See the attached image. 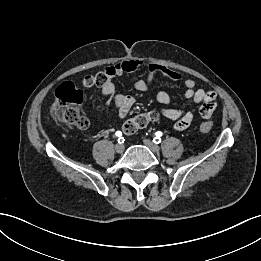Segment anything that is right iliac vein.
I'll use <instances>...</instances> for the list:
<instances>
[{"instance_id": "obj_1", "label": "right iliac vein", "mask_w": 261, "mask_h": 261, "mask_svg": "<svg viewBox=\"0 0 261 261\" xmlns=\"http://www.w3.org/2000/svg\"><path fill=\"white\" fill-rule=\"evenodd\" d=\"M124 149H125V146L123 144L118 143L115 145V151L117 153H122L124 151Z\"/></svg>"}]
</instances>
